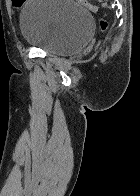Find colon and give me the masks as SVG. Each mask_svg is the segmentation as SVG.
<instances>
[{
	"label": "colon",
	"mask_w": 140,
	"mask_h": 196,
	"mask_svg": "<svg viewBox=\"0 0 140 196\" xmlns=\"http://www.w3.org/2000/svg\"><path fill=\"white\" fill-rule=\"evenodd\" d=\"M79 4L83 5L84 7H86L87 9L93 11V12H96L97 11V6L90 3L88 0H76ZM14 2L18 3L20 2V0H14ZM100 26H101V29L102 30H106L107 26H108V23L106 20L104 19H101L100 20Z\"/></svg>",
	"instance_id": "5ec220e1"
}]
</instances>
